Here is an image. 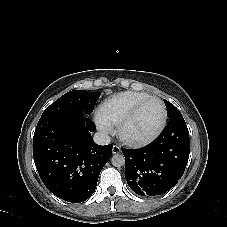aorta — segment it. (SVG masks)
<instances>
[{"mask_svg": "<svg viewBox=\"0 0 227 227\" xmlns=\"http://www.w3.org/2000/svg\"><path fill=\"white\" fill-rule=\"evenodd\" d=\"M111 163L114 167H122L125 164V157L123 154H114L111 158Z\"/></svg>", "mask_w": 227, "mask_h": 227, "instance_id": "1", "label": "aorta"}]
</instances>
